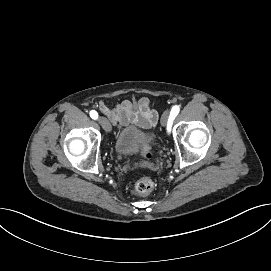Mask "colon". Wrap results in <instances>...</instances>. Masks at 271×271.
<instances>
[{
  "label": "colon",
  "instance_id": "colon-1",
  "mask_svg": "<svg viewBox=\"0 0 271 271\" xmlns=\"http://www.w3.org/2000/svg\"><path fill=\"white\" fill-rule=\"evenodd\" d=\"M151 149L149 146L144 145L143 147V156L147 159L151 157ZM154 188V182L148 177H144L136 181L133 186V192L138 195H146L150 193Z\"/></svg>",
  "mask_w": 271,
  "mask_h": 271
}]
</instances>
